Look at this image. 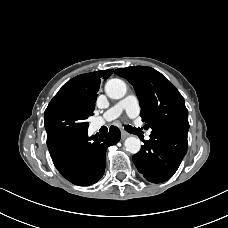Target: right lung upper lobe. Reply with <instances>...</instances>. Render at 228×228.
Returning a JSON list of instances; mask_svg holds the SVG:
<instances>
[{
  "label": "right lung upper lobe",
  "instance_id": "right-lung-upper-lobe-1",
  "mask_svg": "<svg viewBox=\"0 0 228 228\" xmlns=\"http://www.w3.org/2000/svg\"><path fill=\"white\" fill-rule=\"evenodd\" d=\"M112 72L110 69L76 76L63 85L54 98L69 100L93 115L100 82Z\"/></svg>",
  "mask_w": 228,
  "mask_h": 228
}]
</instances>
